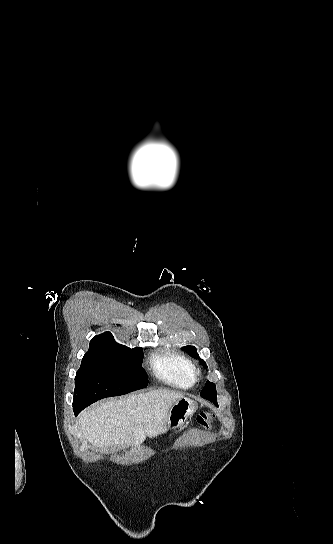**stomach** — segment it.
<instances>
[{"label": "stomach", "mask_w": 333, "mask_h": 544, "mask_svg": "<svg viewBox=\"0 0 333 544\" xmlns=\"http://www.w3.org/2000/svg\"><path fill=\"white\" fill-rule=\"evenodd\" d=\"M196 409L197 405L193 400L189 398L178 400L169 410L166 429L175 430L182 426L195 413Z\"/></svg>", "instance_id": "1"}]
</instances>
